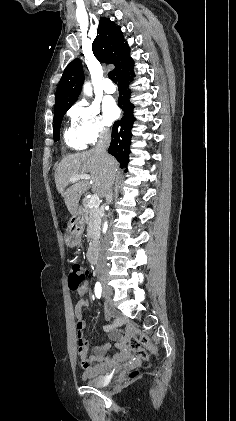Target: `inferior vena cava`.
<instances>
[{"mask_svg":"<svg viewBox=\"0 0 236 421\" xmlns=\"http://www.w3.org/2000/svg\"><path fill=\"white\" fill-rule=\"evenodd\" d=\"M111 142V130L109 128H105V126H100L99 128V140L97 144H95L94 148L96 152H102V154H106V148L110 146ZM115 178V176H114ZM114 180H112L109 188L106 190V202L105 204H110L112 202V184ZM110 243V235H106L105 239L102 241L100 253H99V259L98 263L96 265V271L97 273H105L107 271V261L106 257H104V251L107 249L108 245Z\"/></svg>","mask_w":236,"mask_h":421,"instance_id":"602c4592","label":"inferior vena cava"}]
</instances>
